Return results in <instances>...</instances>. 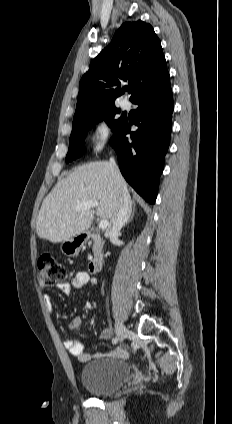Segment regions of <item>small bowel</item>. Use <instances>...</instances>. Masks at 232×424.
<instances>
[{
    "label": "small bowel",
    "instance_id": "c3829d8e",
    "mask_svg": "<svg viewBox=\"0 0 232 424\" xmlns=\"http://www.w3.org/2000/svg\"><path fill=\"white\" fill-rule=\"evenodd\" d=\"M96 279L92 277L87 271H79L71 279L70 282H61L57 284V289L63 294L70 296L73 289L83 287L85 285H95ZM43 303L48 310L53 309V302L49 295L43 296ZM82 325V319L80 316L73 317L68 324V328L72 332H76L80 329ZM112 337V331L110 328H104L100 333V338L102 340H109ZM65 348L70 355L76 357L81 362H87L92 357L103 356L107 354L106 352L98 351L93 354H90L84 350V344L75 339H67L64 342ZM109 354L117 358H125L127 356V350L124 348H118L114 351H111Z\"/></svg>",
    "mask_w": 232,
    "mask_h": 424
}]
</instances>
